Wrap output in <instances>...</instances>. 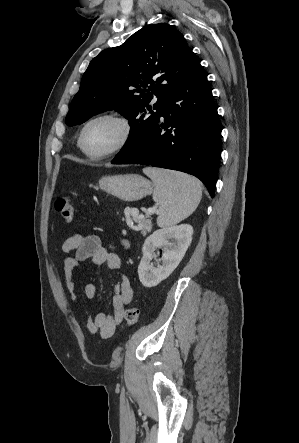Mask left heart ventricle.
Wrapping results in <instances>:
<instances>
[{
	"mask_svg": "<svg viewBox=\"0 0 299 443\" xmlns=\"http://www.w3.org/2000/svg\"><path fill=\"white\" fill-rule=\"evenodd\" d=\"M122 136L118 123L103 119L92 123L86 130L84 144L88 151L100 154L114 147Z\"/></svg>",
	"mask_w": 299,
	"mask_h": 443,
	"instance_id": "obj_1",
	"label": "left heart ventricle"
}]
</instances>
